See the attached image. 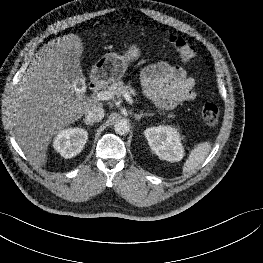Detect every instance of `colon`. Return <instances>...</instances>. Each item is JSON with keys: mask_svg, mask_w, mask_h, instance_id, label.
I'll return each mask as SVG.
<instances>
[{"mask_svg": "<svg viewBox=\"0 0 263 263\" xmlns=\"http://www.w3.org/2000/svg\"><path fill=\"white\" fill-rule=\"evenodd\" d=\"M169 42L175 48L180 58L183 61H190L194 59L196 51L194 46L186 39L177 35H170ZM201 118L208 126H214L219 119V108L214 103H206L201 109Z\"/></svg>", "mask_w": 263, "mask_h": 263, "instance_id": "5ec220e1", "label": "colon"}]
</instances>
